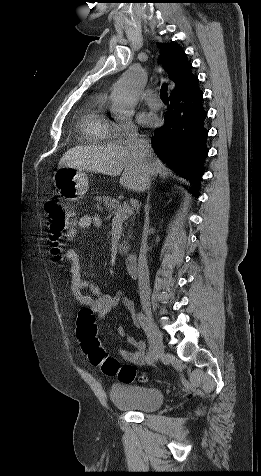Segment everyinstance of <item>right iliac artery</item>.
Masks as SVG:
<instances>
[{
  "mask_svg": "<svg viewBox=\"0 0 261 476\" xmlns=\"http://www.w3.org/2000/svg\"><path fill=\"white\" fill-rule=\"evenodd\" d=\"M137 319H138V322L140 323L142 329L144 330V333H146L147 337H148V344H150L149 346V350H148V353H147V357H146V360H147V363L148 364H151L155 357H154V351L152 350V346L154 345L153 344V336H152V329L150 327H148V324H147V317L142 314V313H139L137 315Z\"/></svg>",
  "mask_w": 261,
  "mask_h": 476,
  "instance_id": "right-iliac-artery-1",
  "label": "right iliac artery"
}]
</instances>
